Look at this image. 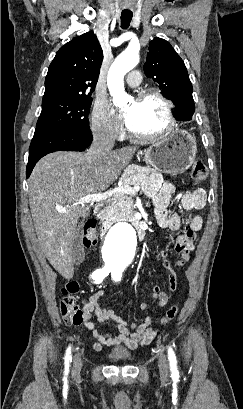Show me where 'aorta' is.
<instances>
[{
  "instance_id": "762f6f07",
  "label": "aorta",
  "mask_w": 243,
  "mask_h": 409,
  "mask_svg": "<svg viewBox=\"0 0 243 409\" xmlns=\"http://www.w3.org/2000/svg\"><path fill=\"white\" fill-rule=\"evenodd\" d=\"M139 63L137 52L126 50L111 65L107 85L116 106H124L130 96L124 91V76ZM136 242V232L130 223H118L111 227L104 237L102 251L111 264L130 254Z\"/></svg>"
}]
</instances>
